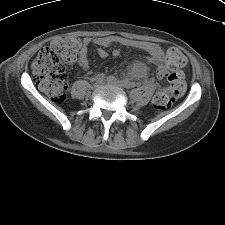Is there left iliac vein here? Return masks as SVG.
<instances>
[{"mask_svg": "<svg viewBox=\"0 0 225 225\" xmlns=\"http://www.w3.org/2000/svg\"><path fill=\"white\" fill-rule=\"evenodd\" d=\"M106 83L110 84V85H113L115 87H118V88H124V86H125L121 81H119V80H117L115 78L107 79Z\"/></svg>", "mask_w": 225, "mask_h": 225, "instance_id": "left-iliac-vein-1", "label": "left iliac vein"}]
</instances>
